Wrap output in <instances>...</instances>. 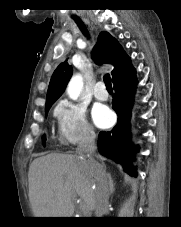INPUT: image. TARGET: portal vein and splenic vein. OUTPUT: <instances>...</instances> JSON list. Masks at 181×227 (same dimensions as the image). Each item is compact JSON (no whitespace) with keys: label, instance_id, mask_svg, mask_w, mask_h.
Returning <instances> with one entry per match:
<instances>
[{"label":"portal vein and splenic vein","instance_id":"1","mask_svg":"<svg viewBox=\"0 0 181 227\" xmlns=\"http://www.w3.org/2000/svg\"><path fill=\"white\" fill-rule=\"evenodd\" d=\"M81 209L85 211V209H86L85 204H81Z\"/></svg>","mask_w":181,"mask_h":227}]
</instances>
